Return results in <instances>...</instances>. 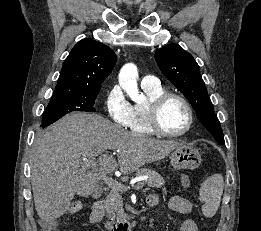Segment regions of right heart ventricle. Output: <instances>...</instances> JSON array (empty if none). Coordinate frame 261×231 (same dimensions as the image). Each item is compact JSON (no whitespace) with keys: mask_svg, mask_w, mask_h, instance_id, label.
I'll list each match as a JSON object with an SVG mask.
<instances>
[{"mask_svg":"<svg viewBox=\"0 0 261 231\" xmlns=\"http://www.w3.org/2000/svg\"><path fill=\"white\" fill-rule=\"evenodd\" d=\"M143 89L146 93V100L142 103H135L131 106V116L128 127L131 132L138 135L151 136L154 135L155 132L148 123V104L165 91L160 85L157 87H143Z\"/></svg>","mask_w":261,"mask_h":231,"instance_id":"1","label":"right heart ventricle"}]
</instances>
